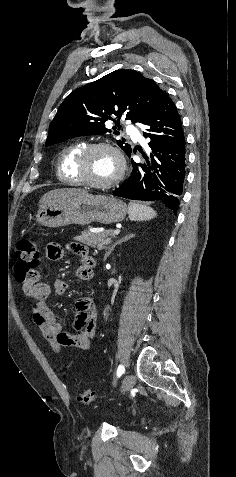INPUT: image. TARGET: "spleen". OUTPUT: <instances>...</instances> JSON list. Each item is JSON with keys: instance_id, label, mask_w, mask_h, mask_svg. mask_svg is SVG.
<instances>
[{"instance_id": "obj_1", "label": "spleen", "mask_w": 236, "mask_h": 477, "mask_svg": "<svg viewBox=\"0 0 236 477\" xmlns=\"http://www.w3.org/2000/svg\"><path fill=\"white\" fill-rule=\"evenodd\" d=\"M128 214L131 221H149L157 216L151 207L136 202L129 203Z\"/></svg>"}]
</instances>
